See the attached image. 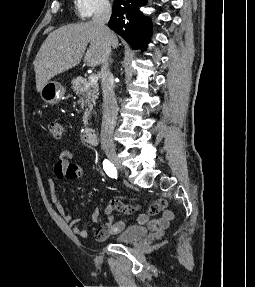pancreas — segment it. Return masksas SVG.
<instances>
[{
	"instance_id": "obj_1",
	"label": "pancreas",
	"mask_w": 255,
	"mask_h": 287,
	"mask_svg": "<svg viewBox=\"0 0 255 287\" xmlns=\"http://www.w3.org/2000/svg\"><path fill=\"white\" fill-rule=\"evenodd\" d=\"M71 84L73 92H75L77 96H84L85 98V104L87 108L83 116V122L84 126H87L90 112L91 110H93V106L96 100H98L99 86L95 84V86H89V88H86V84H89V82H87L86 78H81V76H79V78H76V80H72Z\"/></svg>"
}]
</instances>
